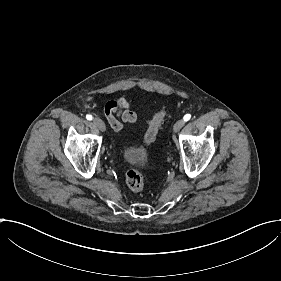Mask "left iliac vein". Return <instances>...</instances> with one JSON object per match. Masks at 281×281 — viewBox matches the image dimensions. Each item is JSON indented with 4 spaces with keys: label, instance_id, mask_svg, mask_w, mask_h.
Listing matches in <instances>:
<instances>
[{
    "label": "left iliac vein",
    "instance_id": "left-iliac-vein-1",
    "mask_svg": "<svg viewBox=\"0 0 281 281\" xmlns=\"http://www.w3.org/2000/svg\"><path fill=\"white\" fill-rule=\"evenodd\" d=\"M183 126H184V120H179L178 122H176L174 128L172 129V132L174 134H177L179 132L178 130H180L181 127Z\"/></svg>",
    "mask_w": 281,
    "mask_h": 281
}]
</instances>
